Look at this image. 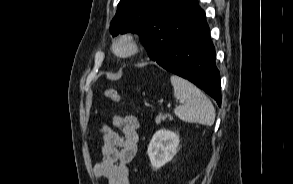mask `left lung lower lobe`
I'll return each instance as SVG.
<instances>
[{
    "label": "left lung lower lobe",
    "instance_id": "obj_1",
    "mask_svg": "<svg viewBox=\"0 0 293 184\" xmlns=\"http://www.w3.org/2000/svg\"><path fill=\"white\" fill-rule=\"evenodd\" d=\"M164 69L188 79L221 105L220 73L205 12L197 0H183L173 12L171 24L151 57Z\"/></svg>",
    "mask_w": 293,
    "mask_h": 184
}]
</instances>
